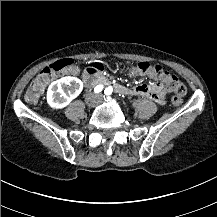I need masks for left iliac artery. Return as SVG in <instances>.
<instances>
[{
  "label": "left iliac artery",
  "instance_id": "44dca946",
  "mask_svg": "<svg viewBox=\"0 0 217 217\" xmlns=\"http://www.w3.org/2000/svg\"><path fill=\"white\" fill-rule=\"evenodd\" d=\"M112 91L113 90H111L110 92H108V91L105 90L104 92H105L106 95H111ZM107 98H110V97L108 96Z\"/></svg>",
  "mask_w": 217,
  "mask_h": 217
}]
</instances>
